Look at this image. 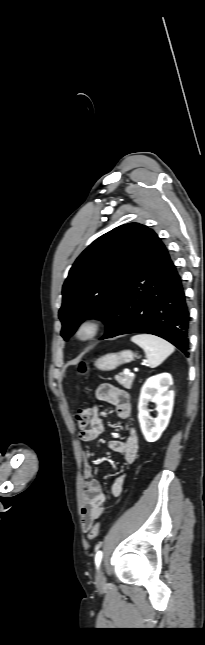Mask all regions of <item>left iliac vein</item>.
Segmentation results:
<instances>
[{
	"label": "left iliac vein",
	"mask_w": 205,
	"mask_h": 645,
	"mask_svg": "<svg viewBox=\"0 0 205 645\" xmlns=\"http://www.w3.org/2000/svg\"><path fill=\"white\" fill-rule=\"evenodd\" d=\"M104 582H105L104 574L102 572V569L99 568L98 571H97V574H96V583L97 584H103Z\"/></svg>",
	"instance_id": "4c4485c4"
}]
</instances>
